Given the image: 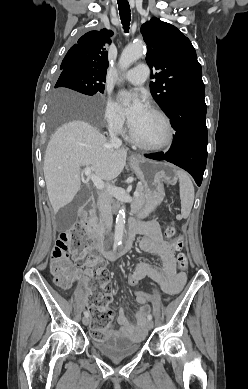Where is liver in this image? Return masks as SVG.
<instances>
[{
    "mask_svg": "<svg viewBox=\"0 0 248 389\" xmlns=\"http://www.w3.org/2000/svg\"><path fill=\"white\" fill-rule=\"evenodd\" d=\"M55 101L90 104L91 100L67 91L55 93ZM127 149L115 147L95 127L83 120L63 124L52 135L44 157V177L54 213L69 204L83 181L81 167L93 166L105 181L118 177L126 164Z\"/></svg>",
    "mask_w": 248,
    "mask_h": 389,
    "instance_id": "1",
    "label": "liver"
}]
</instances>
